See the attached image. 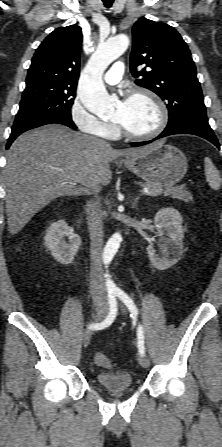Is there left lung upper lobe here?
Instances as JSON below:
<instances>
[{
  "mask_svg": "<svg viewBox=\"0 0 222 447\" xmlns=\"http://www.w3.org/2000/svg\"><path fill=\"white\" fill-rule=\"evenodd\" d=\"M132 35L130 71L137 85L165 100L168 125L190 120L209 128L195 64L180 34L165 23L140 18ZM143 64L147 69L138 71Z\"/></svg>",
  "mask_w": 222,
  "mask_h": 447,
  "instance_id": "5c2ea615",
  "label": "left lung upper lobe"
}]
</instances>
